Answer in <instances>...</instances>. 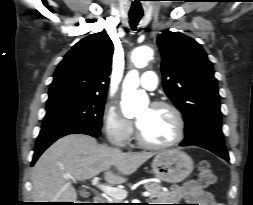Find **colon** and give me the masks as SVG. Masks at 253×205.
<instances>
[{
	"instance_id": "colon-1",
	"label": "colon",
	"mask_w": 253,
	"mask_h": 205,
	"mask_svg": "<svg viewBox=\"0 0 253 205\" xmlns=\"http://www.w3.org/2000/svg\"><path fill=\"white\" fill-rule=\"evenodd\" d=\"M198 183L202 187H208L216 182V174L212 165L207 160H202L198 164ZM86 205V204H83Z\"/></svg>"
}]
</instances>
